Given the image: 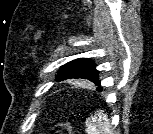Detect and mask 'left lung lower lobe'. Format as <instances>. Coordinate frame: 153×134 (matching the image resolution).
I'll list each match as a JSON object with an SVG mask.
<instances>
[{
    "instance_id": "left-lung-lower-lobe-1",
    "label": "left lung lower lobe",
    "mask_w": 153,
    "mask_h": 134,
    "mask_svg": "<svg viewBox=\"0 0 153 134\" xmlns=\"http://www.w3.org/2000/svg\"><path fill=\"white\" fill-rule=\"evenodd\" d=\"M97 90H98V91H102V88H101V87H98Z\"/></svg>"
}]
</instances>
